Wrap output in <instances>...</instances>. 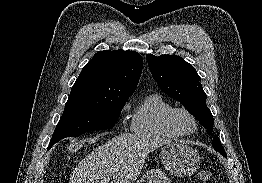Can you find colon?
Returning a JSON list of instances; mask_svg holds the SVG:
<instances>
[{
    "label": "colon",
    "instance_id": "1",
    "mask_svg": "<svg viewBox=\"0 0 262 183\" xmlns=\"http://www.w3.org/2000/svg\"><path fill=\"white\" fill-rule=\"evenodd\" d=\"M198 179L203 183L208 182L211 179V172L209 170H200L198 172Z\"/></svg>",
    "mask_w": 262,
    "mask_h": 183
}]
</instances>
